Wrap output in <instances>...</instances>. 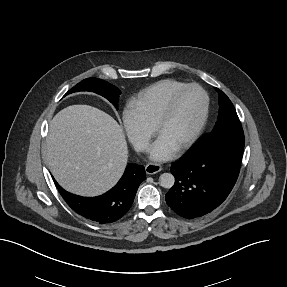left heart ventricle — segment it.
<instances>
[{"mask_svg": "<svg viewBox=\"0 0 287 287\" xmlns=\"http://www.w3.org/2000/svg\"><path fill=\"white\" fill-rule=\"evenodd\" d=\"M203 106V96L196 89L184 92L176 100L173 111L160 130L158 139L172 148L178 147L197 125Z\"/></svg>", "mask_w": 287, "mask_h": 287, "instance_id": "b2bd125f", "label": "left heart ventricle"}]
</instances>
